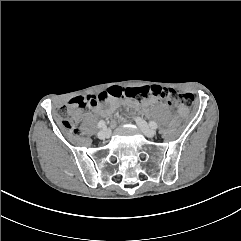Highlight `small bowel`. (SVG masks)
I'll return each instance as SVG.
<instances>
[{"label": "small bowel", "instance_id": "c3829d8e", "mask_svg": "<svg viewBox=\"0 0 241 241\" xmlns=\"http://www.w3.org/2000/svg\"><path fill=\"white\" fill-rule=\"evenodd\" d=\"M130 103H131V104H140V105H142V106H147V105H150V104L153 103V99H147V100H145V101H143V102H141V103H136V102H134V101H131ZM95 111H96L98 114H102V115L105 114V111H104L102 108H100V107H96ZM179 113H180V114H185V109H184V108H179Z\"/></svg>", "mask_w": 241, "mask_h": 241}]
</instances>
